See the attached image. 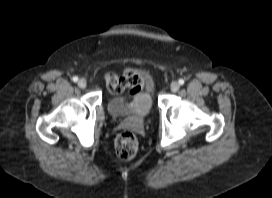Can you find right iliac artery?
<instances>
[{
	"label": "right iliac artery",
	"instance_id": "82829eb1",
	"mask_svg": "<svg viewBox=\"0 0 272 198\" xmlns=\"http://www.w3.org/2000/svg\"><path fill=\"white\" fill-rule=\"evenodd\" d=\"M72 80H73L74 82H77V81H78V77H77V76H74V77L72 78Z\"/></svg>",
	"mask_w": 272,
	"mask_h": 198
}]
</instances>
